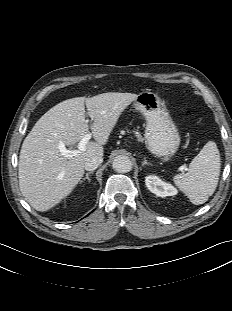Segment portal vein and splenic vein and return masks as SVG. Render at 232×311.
I'll return each mask as SVG.
<instances>
[{
    "mask_svg": "<svg viewBox=\"0 0 232 311\" xmlns=\"http://www.w3.org/2000/svg\"><path fill=\"white\" fill-rule=\"evenodd\" d=\"M91 137H92V134L88 132L78 143V146H77L78 150H68L65 147V144L63 142L59 143L58 148L63 156L73 157V156H76L78 153L85 151L86 144L89 142Z\"/></svg>",
    "mask_w": 232,
    "mask_h": 311,
    "instance_id": "portal-vein-and-splenic-vein-1",
    "label": "portal vein and splenic vein"
}]
</instances>
